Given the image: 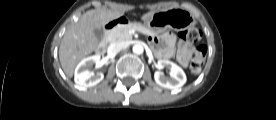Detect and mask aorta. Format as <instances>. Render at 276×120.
<instances>
[{
  "instance_id": "1",
  "label": "aorta",
  "mask_w": 276,
  "mask_h": 120,
  "mask_svg": "<svg viewBox=\"0 0 276 120\" xmlns=\"http://www.w3.org/2000/svg\"><path fill=\"white\" fill-rule=\"evenodd\" d=\"M132 50H133V53L140 55L143 53L144 48L142 44L137 43L133 46Z\"/></svg>"
}]
</instances>
